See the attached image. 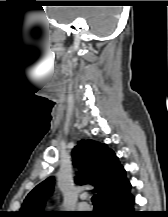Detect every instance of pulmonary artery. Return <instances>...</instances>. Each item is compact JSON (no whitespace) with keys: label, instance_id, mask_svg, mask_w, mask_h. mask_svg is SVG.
<instances>
[{"label":"pulmonary artery","instance_id":"1","mask_svg":"<svg viewBox=\"0 0 168 217\" xmlns=\"http://www.w3.org/2000/svg\"><path fill=\"white\" fill-rule=\"evenodd\" d=\"M79 209H88V205L85 202H80L78 204Z\"/></svg>","mask_w":168,"mask_h":217}]
</instances>
